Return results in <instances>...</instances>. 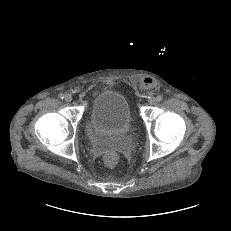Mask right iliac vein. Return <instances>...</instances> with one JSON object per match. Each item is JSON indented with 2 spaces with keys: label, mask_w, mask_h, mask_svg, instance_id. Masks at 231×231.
Masks as SVG:
<instances>
[{
  "label": "right iliac vein",
  "mask_w": 231,
  "mask_h": 231,
  "mask_svg": "<svg viewBox=\"0 0 231 231\" xmlns=\"http://www.w3.org/2000/svg\"><path fill=\"white\" fill-rule=\"evenodd\" d=\"M66 102H71L72 101V95L71 94H66L64 97Z\"/></svg>",
  "instance_id": "63e3f726"
}]
</instances>
